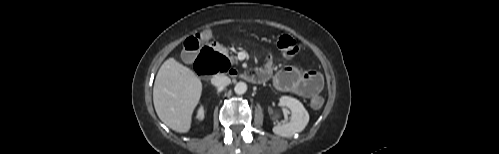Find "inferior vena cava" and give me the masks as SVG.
Segmentation results:
<instances>
[{"mask_svg": "<svg viewBox=\"0 0 499 154\" xmlns=\"http://www.w3.org/2000/svg\"><path fill=\"white\" fill-rule=\"evenodd\" d=\"M231 82L230 78L228 76H225L223 74L215 75L211 79V83L216 86V87H226L229 85Z\"/></svg>", "mask_w": 499, "mask_h": 154, "instance_id": "602c4592", "label": "inferior vena cava"}]
</instances>
